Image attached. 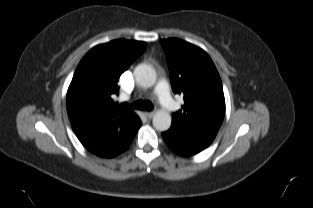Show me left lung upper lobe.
Listing matches in <instances>:
<instances>
[{"instance_id":"5c2ea615","label":"left lung upper lobe","mask_w":313,"mask_h":208,"mask_svg":"<svg viewBox=\"0 0 313 208\" xmlns=\"http://www.w3.org/2000/svg\"><path fill=\"white\" fill-rule=\"evenodd\" d=\"M166 52L174 93L184 96L183 110L173 114L171 128L212 140L225 115V99L218 71L201 48L177 38L160 41Z\"/></svg>"}]
</instances>
